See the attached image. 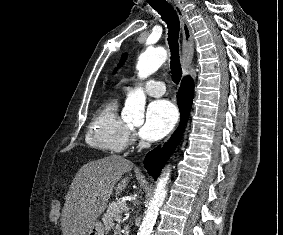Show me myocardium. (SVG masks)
I'll use <instances>...</instances> for the list:
<instances>
[{
	"label": "myocardium",
	"mask_w": 283,
	"mask_h": 235,
	"mask_svg": "<svg viewBox=\"0 0 283 235\" xmlns=\"http://www.w3.org/2000/svg\"><path fill=\"white\" fill-rule=\"evenodd\" d=\"M130 133V129H128V134Z\"/></svg>",
	"instance_id": "1"
}]
</instances>
